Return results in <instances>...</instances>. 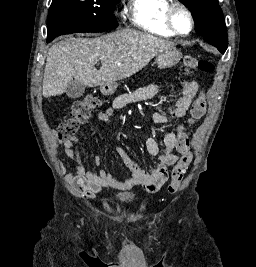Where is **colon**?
Masks as SVG:
<instances>
[{
  "mask_svg": "<svg viewBox=\"0 0 256 267\" xmlns=\"http://www.w3.org/2000/svg\"><path fill=\"white\" fill-rule=\"evenodd\" d=\"M195 69H199L204 74H210L214 70V65L208 59H196L192 56H186L182 61L183 73L189 75ZM100 102V99L93 95L76 101L68 114V118L62 121L58 127L59 139L68 140L73 138L79 128L100 105ZM206 107V98L203 93H199L191 105L187 122L178 128L177 148L180 150L182 157L173 169L172 182L168 185L170 193H174L179 189L184 174L192 160L187 127L203 118Z\"/></svg>",
  "mask_w": 256,
  "mask_h": 267,
  "instance_id": "obj_1",
  "label": "colon"
}]
</instances>
